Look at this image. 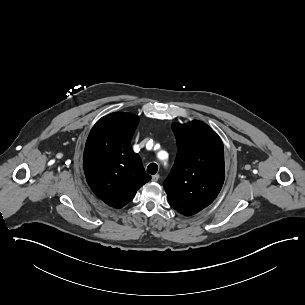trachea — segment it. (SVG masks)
Instances as JSON below:
<instances>
[{"mask_svg":"<svg viewBox=\"0 0 305 305\" xmlns=\"http://www.w3.org/2000/svg\"><path fill=\"white\" fill-rule=\"evenodd\" d=\"M157 171H158V165L157 164L151 163L147 166V173L154 175V174L157 173Z\"/></svg>","mask_w":305,"mask_h":305,"instance_id":"3493384b","label":"trachea"}]
</instances>
